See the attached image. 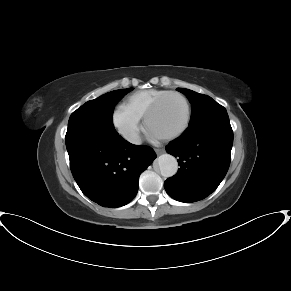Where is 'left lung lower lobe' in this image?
<instances>
[{"mask_svg":"<svg viewBox=\"0 0 291 291\" xmlns=\"http://www.w3.org/2000/svg\"><path fill=\"white\" fill-rule=\"evenodd\" d=\"M232 144L228 114L186 129L166 148L167 153L178 158L180 165L178 172L164 183L168 195L186 203L210 195L228 171Z\"/></svg>","mask_w":291,"mask_h":291,"instance_id":"0a47b994","label":"left lung lower lobe"}]
</instances>
